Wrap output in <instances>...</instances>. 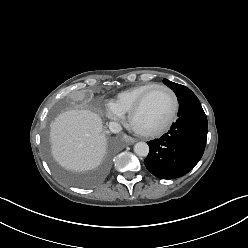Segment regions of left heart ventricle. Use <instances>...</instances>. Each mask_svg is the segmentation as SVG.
Listing matches in <instances>:
<instances>
[{"label": "left heart ventricle", "mask_w": 248, "mask_h": 248, "mask_svg": "<svg viewBox=\"0 0 248 248\" xmlns=\"http://www.w3.org/2000/svg\"><path fill=\"white\" fill-rule=\"evenodd\" d=\"M172 108L173 101L170 94L163 89H157L146 99L135 117L134 124L142 131H153L168 120Z\"/></svg>", "instance_id": "b2bd125f"}]
</instances>
